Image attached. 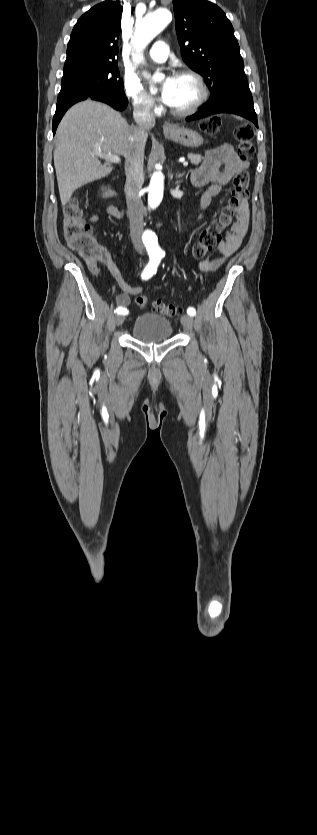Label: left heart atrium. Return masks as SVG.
Returning <instances> with one entry per match:
<instances>
[{
  "instance_id": "left-heart-atrium-1",
  "label": "left heart atrium",
  "mask_w": 317,
  "mask_h": 835,
  "mask_svg": "<svg viewBox=\"0 0 317 835\" xmlns=\"http://www.w3.org/2000/svg\"><path fill=\"white\" fill-rule=\"evenodd\" d=\"M175 88V77L168 76L161 85V99L164 103L170 104Z\"/></svg>"
}]
</instances>
